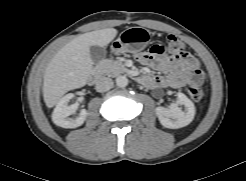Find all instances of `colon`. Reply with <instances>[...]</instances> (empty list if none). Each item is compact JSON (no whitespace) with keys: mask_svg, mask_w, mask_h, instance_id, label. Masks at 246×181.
<instances>
[{"mask_svg":"<svg viewBox=\"0 0 246 181\" xmlns=\"http://www.w3.org/2000/svg\"><path fill=\"white\" fill-rule=\"evenodd\" d=\"M184 49L185 44L175 36H168L166 46L159 47L155 45L151 48L152 52L156 54H162L166 52L179 53ZM192 80L193 83L187 88V92L193 100L200 101L204 97V92L200 87V84L203 81V74L198 66L192 70Z\"/></svg>","mask_w":246,"mask_h":181,"instance_id":"1","label":"colon"}]
</instances>
